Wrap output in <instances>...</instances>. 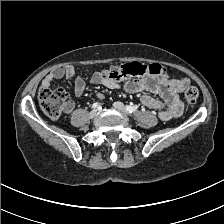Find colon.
Instances as JSON below:
<instances>
[{
  "label": "colon",
  "mask_w": 224,
  "mask_h": 224,
  "mask_svg": "<svg viewBox=\"0 0 224 224\" xmlns=\"http://www.w3.org/2000/svg\"><path fill=\"white\" fill-rule=\"evenodd\" d=\"M167 69L157 63L143 65L140 63H130L120 67H112L105 71L104 76L112 81H121L129 77L144 75L166 77ZM186 101L195 104L199 97L198 89L189 86L184 92ZM38 100L42 110L52 119L60 117L62 111L69 106L67 93L62 88L42 87L38 93Z\"/></svg>",
  "instance_id": "obj_1"
}]
</instances>
